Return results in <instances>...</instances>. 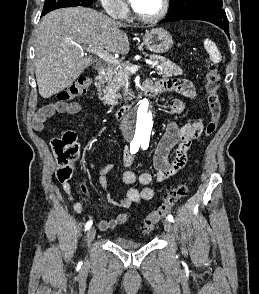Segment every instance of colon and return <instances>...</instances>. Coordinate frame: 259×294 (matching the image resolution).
Instances as JSON below:
<instances>
[{"mask_svg": "<svg viewBox=\"0 0 259 294\" xmlns=\"http://www.w3.org/2000/svg\"><path fill=\"white\" fill-rule=\"evenodd\" d=\"M220 83L221 75L218 67L213 63H209L208 71L205 76L207 105L210 112V120L205 128V135L207 137L211 136L216 131L221 116V102L218 95ZM89 85L90 79L88 77H80L70 86L59 92L57 99L59 101L68 102L85 93ZM53 147L59 163L57 178L61 182H65L72 176L73 162L78 157V146L76 144L75 134L66 132L61 138L54 139ZM187 194V182H183L169 189L157 207L142 221L143 233L149 234L152 232L177 202Z\"/></svg>", "mask_w": 259, "mask_h": 294, "instance_id": "1", "label": "colon"}]
</instances>
